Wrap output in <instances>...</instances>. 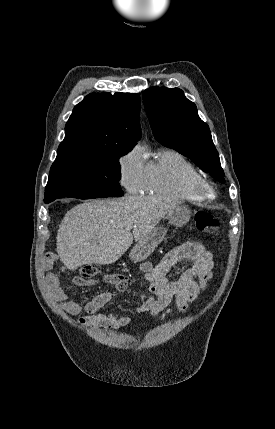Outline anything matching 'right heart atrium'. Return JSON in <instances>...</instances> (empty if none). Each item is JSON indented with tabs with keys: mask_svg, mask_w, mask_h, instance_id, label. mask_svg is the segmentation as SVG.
I'll return each mask as SVG.
<instances>
[{
	"mask_svg": "<svg viewBox=\"0 0 275 429\" xmlns=\"http://www.w3.org/2000/svg\"><path fill=\"white\" fill-rule=\"evenodd\" d=\"M119 179L121 185L130 193L143 189L146 176V163L140 149L134 148L120 156Z\"/></svg>",
	"mask_w": 275,
	"mask_h": 429,
	"instance_id": "obj_1",
	"label": "right heart atrium"
}]
</instances>
